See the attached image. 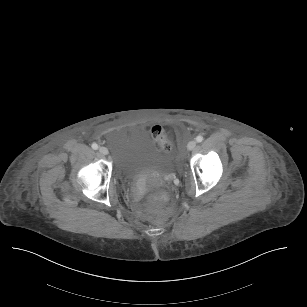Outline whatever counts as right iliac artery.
<instances>
[{
	"instance_id": "1",
	"label": "right iliac artery",
	"mask_w": 307,
	"mask_h": 307,
	"mask_svg": "<svg viewBox=\"0 0 307 307\" xmlns=\"http://www.w3.org/2000/svg\"><path fill=\"white\" fill-rule=\"evenodd\" d=\"M92 148H93L94 150H97V149H98V145H97L96 143H93V144H92Z\"/></svg>"
}]
</instances>
